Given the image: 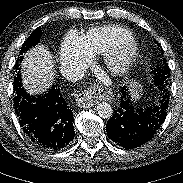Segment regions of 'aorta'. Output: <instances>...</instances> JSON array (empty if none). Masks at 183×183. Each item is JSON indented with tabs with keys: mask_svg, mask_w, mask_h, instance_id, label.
I'll return each mask as SVG.
<instances>
[{
	"mask_svg": "<svg viewBox=\"0 0 183 183\" xmlns=\"http://www.w3.org/2000/svg\"><path fill=\"white\" fill-rule=\"evenodd\" d=\"M96 112L98 116L105 119V118H110L112 116L113 109L111 105L108 104L107 102H100L96 106Z\"/></svg>",
	"mask_w": 183,
	"mask_h": 183,
	"instance_id": "obj_1",
	"label": "aorta"
}]
</instances>
